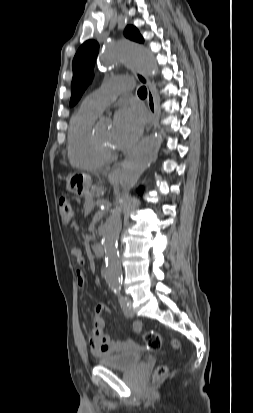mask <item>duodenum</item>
Wrapping results in <instances>:
<instances>
[{"mask_svg": "<svg viewBox=\"0 0 253 413\" xmlns=\"http://www.w3.org/2000/svg\"><path fill=\"white\" fill-rule=\"evenodd\" d=\"M94 254L97 257H103L104 256V248L100 243H96L92 247Z\"/></svg>", "mask_w": 253, "mask_h": 413, "instance_id": "410a0bca", "label": "duodenum"}]
</instances>
